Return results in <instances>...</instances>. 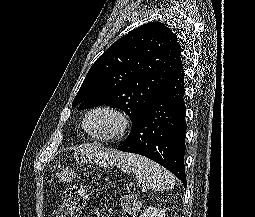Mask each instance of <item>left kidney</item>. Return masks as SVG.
I'll list each match as a JSON object with an SVG mask.
<instances>
[{
	"instance_id": "5707ae66",
	"label": "left kidney",
	"mask_w": 255,
	"mask_h": 217,
	"mask_svg": "<svg viewBox=\"0 0 255 217\" xmlns=\"http://www.w3.org/2000/svg\"><path fill=\"white\" fill-rule=\"evenodd\" d=\"M140 217H165V210L149 207Z\"/></svg>"
}]
</instances>
